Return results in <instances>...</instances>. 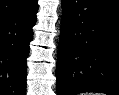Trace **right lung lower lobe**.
Returning <instances> with one entry per match:
<instances>
[{
    "instance_id": "obj_1",
    "label": "right lung lower lobe",
    "mask_w": 119,
    "mask_h": 95,
    "mask_svg": "<svg viewBox=\"0 0 119 95\" xmlns=\"http://www.w3.org/2000/svg\"><path fill=\"white\" fill-rule=\"evenodd\" d=\"M38 1L0 20V95H25L29 44Z\"/></svg>"
}]
</instances>
